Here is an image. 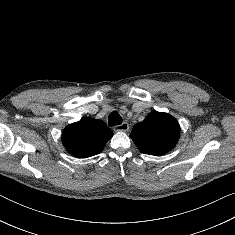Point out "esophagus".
<instances>
[{"instance_id":"34e87169","label":"esophagus","mask_w":235,"mask_h":235,"mask_svg":"<svg viewBox=\"0 0 235 235\" xmlns=\"http://www.w3.org/2000/svg\"><path fill=\"white\" fill-rule=\"evenodd\" d=\"M128 129H129V124L127 122H123L122 124L116 125L114 127V131L116 132H126L128 131Z\"/></svg>"}]
</instances>
